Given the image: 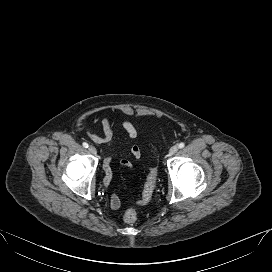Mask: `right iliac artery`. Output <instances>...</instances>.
<instances>
[{
  "label": "right iliac artery",
  "instance_id": "1",
  "mask_svg": "<svg viewBox=\"0 0 272 272\" xmlns=\"http://www.w3.org/2000/svg\"><path fill=\"white\" fill-rule=\"evenodd\" d=\"M82 145H83L84 148H88V143L84 142ZM106 175H108L107 171H106Z\"/></svg>",
  "mask_w": 272,
  "mask_h": 272
}]
</instances>
